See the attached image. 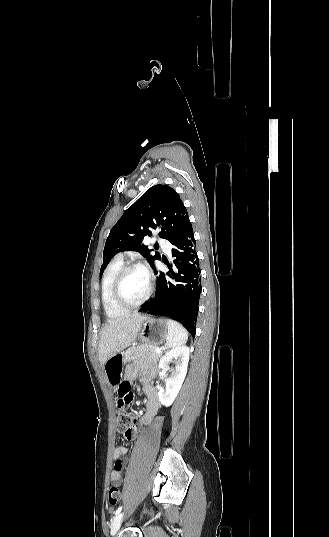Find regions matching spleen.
Masks as SVG:
<instances>
[{
  "label": "spleen",
  "instance_id": "1",
  "mask_svg": "<svg viewBox=\"0 0 329 537\" xmlns=\"http://www.w3.org/2000/svg\"><path fill=\"white\" fill-rule=\"evenodd\" d=\"M168 336L166 339V346L168 348H176L184 345L188 339V332L177 321L168 320Z\"/></svg>",
  "mask_w": 329,
  "mask_h": 537
}]
</instances>
